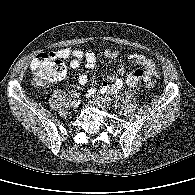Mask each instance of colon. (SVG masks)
I'll use <instances>...</instances> for the list:
<instances>
[{"label":"colon","mask_w":195,"mask_h":195,"mask_svg":"<svg viewBox=\"0 0 195 195\" xmlns=\"http://www.w3.org/2000/svg\"><path fill=\"white\" fill-rule=\"evenodd\" d=\"M31 70L35 81L39 86H46L52 82L61 80L65 75L64 63L52 53L44 52L39 54L32 62ZM147 88H153L155 82H145Z\"/></svg>","instance_id":"colon-1"}]
</instances>
